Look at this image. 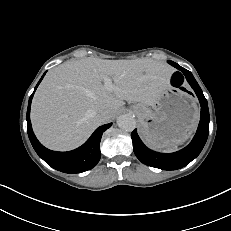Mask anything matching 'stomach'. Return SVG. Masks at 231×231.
Returning a JSON list of instances; mask_svg holds the SVG:
<instances>
[{
	"mask_svg": "<svg viewBox=\"0 0 231 231\" xmlns=\"http://www.w3.org/2000/svg\"><path fill=\"white\" fill-rule=\"evenodd\" d=\"M133 110L141 125V133L153 148H169L186 141L194 132L199 109L193 95L182 85L164 89L151 105L138 103Z\"/></svg>",
	"mask_w": 231,
	"mask_h": 231,
	"instance_id": "0dacf381",
	"label": "stomach"
}]
</instances>
